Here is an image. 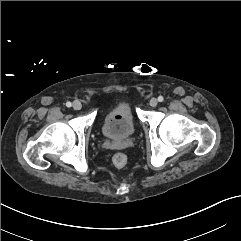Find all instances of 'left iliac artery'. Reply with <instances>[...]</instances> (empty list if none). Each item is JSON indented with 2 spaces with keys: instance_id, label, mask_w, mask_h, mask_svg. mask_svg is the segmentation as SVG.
<instances>
[{
  "instance_id": "1",
  "label": "left iliac artery",
  "mask_w": 241,
  "mask_h": 241,
  "mask_svg": "<svg viewBox=\"0 0 241 241\" xmlns=\"http://www.w3.org/2000/svg\"><path fill=\"white\" fill-rule=\"evenodd\" d=\"M163 100H164L163 96H159V97H158V101H159V102H162Z\"/></svg>"
}]
</instances>
